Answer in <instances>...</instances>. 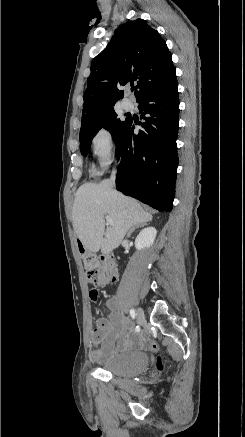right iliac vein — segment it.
<instances>
[{"label": "right iliac vein", "mask_w": 245, "mask_h": 437, "mask_svg": "<svg viewBox=\"0 0 245 437\" xmlns=\"http://www.w3.org/2000/svg\"><path fill=\"white\" fill-rule=\"evenodd\" d=\"M136 319H137V322H138L139 324H141V323L144 322V320H145V315H144V311L142 310V308H138V309L136 310Z\"/></svg>", "instance_id": "obj_1"}]
</instances>
